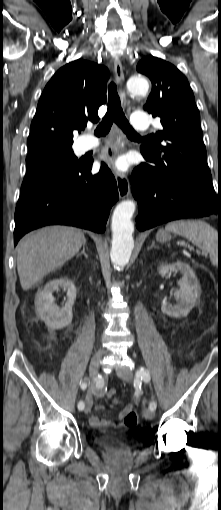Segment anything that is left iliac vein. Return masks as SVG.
Here are the masks:
<instances>
[{
	"instance_id": "left-iliac-vein-1",
	"label": "left iliac vein",
	"mask_w": 221,
	"mask_h": 510,
	"mask_svg": "<svg viewBox=\"0 0 221 510\" xmlns=\"http://www.w3.org/2000/svg\"><path fill=\"white\" fill-rule=\"evenodd\" d=\"M117 375L126 382H131L133 379L131 370H118ZM143 416L148 420H152L155 417V413L150 408H144Z\"/></svg>"
}]
</instances>
